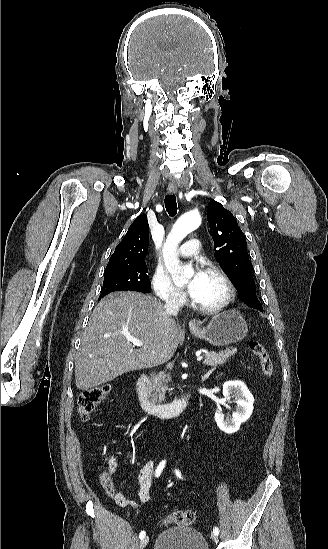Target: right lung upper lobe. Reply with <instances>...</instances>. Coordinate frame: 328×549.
<instances>
[{"label":"right lung upper lobe","mask_w":328,"mask_h":549,"mask_svg":"<svg viewBox=\"0 0 328 549\" xmlns=\"http://www.w3.org/2000/svg\"><path fill=\"white\" fill-rule=\"evenodd\" d=\"M149 243V225L146 215L138 216L110 257L106 270L123 267L145 260Z\"/></svg>","instance_id":"cb5924a9"}]
</instances>
